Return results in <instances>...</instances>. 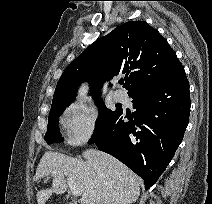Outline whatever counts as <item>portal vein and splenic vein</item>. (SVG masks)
<instances>
[{
	"mask_svg": "<svg viewBox=\"0 0 212 204\" xmlns=\"http://www.w3.org/2000/svg\"><path fill=\"white\" fill-rule=\"evenodd\" d=\"M52 174H56L55 171L52 172ZM68 185L70 187V191L72 193V195L74 196H80L82 195V191L81 189L77 186V184L75 183V181H73L72 179H68Z\"/></svg>",
	"mask_w": 212,
	"mask_h": 204,
	"instance_id": "18ae733b",
	"label": "portal vein and splenic vein"
}]
</instances>
